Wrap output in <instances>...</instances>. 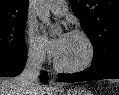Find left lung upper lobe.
<instances>
[{"label": "left lung upper lobe", "instance_id": "5c2ea615", "mask_svg": "<svg viewBox=\"0 0 119 95\" xmlns=\"http://www.w3.org/2000/svg\"><path fill=\"white\" fill-rule=\"evenodd\" d=\"M94 46L92 65L104 68L119 57V0H69Z\"/></svg>", "mask_w": 119, "mask_h": 95}]
</instances>
